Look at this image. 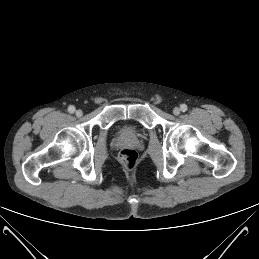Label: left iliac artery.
<instances>
[{
	"mask_svg": "<svg viewBox=\"0 0 259 259\" xmlns=\"http://www.w3.org/2000/svg\"><path fill=\"white\" fill-rule=\"evenodd\" d=\"M180 108H181V111L185 112L187 110V105L186 104H182L180 106Z\"/></svg>",
	"mask_w": 259,
	"mask_h": 259,
	"instance_id": "1",
	"label": "left iliac artery"
}]
</instances>
